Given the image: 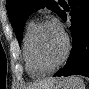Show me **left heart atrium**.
<instances>
[{"mask_svg":"<svg viewBox=\"0 0 89 89\" xmlns=\"http://www.w3.org/2000/svg\"><path fill=\"white\" fill-rule=\"evenodd\" d=\"M52 24H53L59 31H61V33H62L61 26H60V24H59L57 21H53Z\"/></svg>","mask_w":89,"mask_h":89,"instance_id":"left-heart-atrium-1","label":"left heart atrium"}]
</instances>
